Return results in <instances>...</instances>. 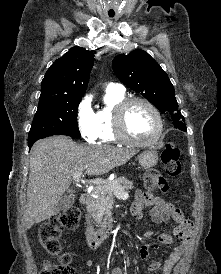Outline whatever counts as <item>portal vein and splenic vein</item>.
Returning <instances> with one entry per match:
<instances>
[{"label": "portal vein and splenic vein", "mask_w": 221, "mask_h": 274, "mask_svg": "<svg viewBox=\"0 0 221 274\" xmlns=\"http://www.w3.org/2000/svg\"><path fill=\"white\" fill-rule=\"evenodd\" d=\"M81 176H82V172H77L73 175V180L75 183H79L80 182V179H81ZM88 184H94V185H100L101 184V180L100 179H95V180H89L87 181ZM113 191L115 193V195L118 197V198H121V199H126L128 198V193L125 192V191H122L119 187H116L114 186L113 187Z\"/></svg>", "instance_id": "portal-vein-and-splenic-vein-1"}]
</instances>
